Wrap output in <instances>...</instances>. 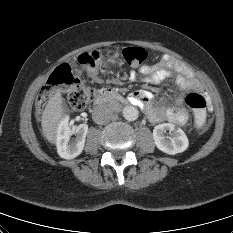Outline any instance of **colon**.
I'll use <instances>...</instances> for the list:
<instances>
[{"instance_id":"obj_1","label":"colon","mask_w":233,"mask_h":233,"mask_svg":"<svg viewBox=\"0 0 233 233\" xmlns=\"http://www.w3.org/2000/svg\"><path fill=\"white\" fill-rule=\"evenodd\" d=\"M122 57L129 65L139 66L145 61L147 53L141 47H128L122 50ZM79 62L89 73L95 74L101 66L102 56L97 51L85 52L79 56ZM55 92L66 94L70 105L75 109L87 107L95 97V90L74 75L67 64L60 65L51 74L38 95L37 109H44L48 99ZM185 103L194 111L196 128L203 129L206 126L205 97L201 93L193 92L186 96Z\"/></svg>"}]
</instances>
